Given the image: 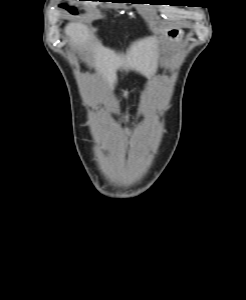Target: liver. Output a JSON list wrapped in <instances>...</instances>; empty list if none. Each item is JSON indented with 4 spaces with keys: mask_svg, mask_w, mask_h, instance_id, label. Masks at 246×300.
<instances>
[{
    "mask_svg": "<svg viewBox=\"0 0 246 300\" xmlns=\"http://www.w3.org/2000/svg\"><path fill=\"white\" fill-rule=\"evenodd\" d=\"M65 33L70 37L73 46L89 49L92 52L93 67L111 89L117 81L118 70L136 71L147 78L156 72L160 55L159 40L156 37H147L133 42L124 54L116 53L94 42L88 27L82 23H68Z\"/></svg>",
    "mask_w": 246,
    "mask_h": 300,
    "instance_id": "liver-1",
    "label": "liver"
}]
</instances>
